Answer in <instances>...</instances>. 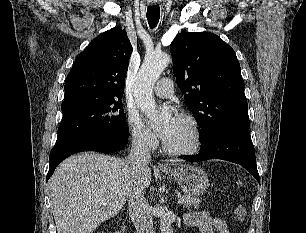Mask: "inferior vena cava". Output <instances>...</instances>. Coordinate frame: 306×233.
<instances>
[{"label": "inferior vena cava", "instance_id": "obj_1", "mask_svg": "<svg viewBox=\"0 0 306 233\" xmlns=\"http://www.w3.org/2000/svg\"><path fill=\"white\" fill-rule=\"evenodd\" d=\"M150 145L147 137L138 136L132 141V147L127 160L135 171H140L148 166L150 156ZM129 216L135 225L137 233H155L153 220L150 215L149 205L144 197L143 188L138 186L128 199Z\"/></svg>", "mask_w": 306, "mask_h": 233}]
</instances>
